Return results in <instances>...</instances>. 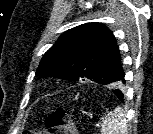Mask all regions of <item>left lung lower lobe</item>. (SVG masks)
I'll return each mask as SVG.
<instances>
[{"label": "left lung lower lobe", "instance_id": "0a47b994", "mask_svg": "<svg viewBox=\"0 0 153 134\" xmlns=\"http://www.w3.org/2000/svg\"><path fill=\"white\" fill-rule=\"evenodd\" d=\"M120 77L125 82V80H124V72L123 71H122ZM112 92L119 98L120 101L124 102V100H123V93H122L121 90H119V89H113Z\"/></svg>", "mask_w": 153, "mask_h": 134}]
</instances>
